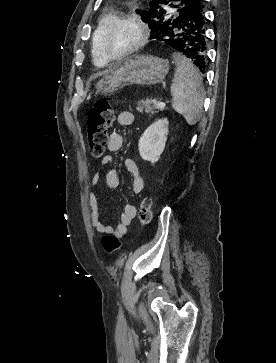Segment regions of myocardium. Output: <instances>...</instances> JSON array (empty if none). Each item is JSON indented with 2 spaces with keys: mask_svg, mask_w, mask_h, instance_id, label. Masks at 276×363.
Returning <instances> with one entry per match:
<instances>
[{
  "mask_svg": "<svg viewBox=\"0 0 276 363\" xmlns=\"http://www.w3.org/2000/svg\"><path fill=\"white\" fill-rule=\"evenodd\" d=\"M123 22L130 23L136 28L137 30L136 40L128 49H126L121 54L116 56H111L107 53L104 47V37L114 26ZM147 38H148V27L145 21L140 16L136 14H120L114 16L111 19V21L101 31L99 36V50L102 57L107 63L118 62L127 58L133 53L137 52L139 49H141L145 45Z\"/></svg>",
  "mask_w": 276,
  "mask_h": 363,
  "instance_id": "obj_1",
  "label": "myocardium"
}]
</instances>
